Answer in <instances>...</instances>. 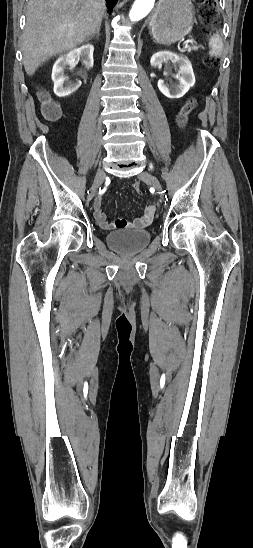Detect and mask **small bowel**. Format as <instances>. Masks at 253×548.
<instances>
[{
    "instance_id": "c3829d8e",
    "label": "small bowel",
    "mask_w": 253,
    "mask_h": 548,
    "mask_svg": "<svg viewBox=\"0 0 253 548\" xmlns=\"http://www.w3.org/2000/svg\"><path fill=\"white\" fill-rule=\"evenodd\" d=\"M94 209V216L99 223V225L105 229H114V228H144L153 220L155 211H156V205L155 203L148 204L145 209L144 213L141 217H138L134 219L132 222H129L125 219H117L114 222L108 221L106 214L102 210V199L98 198L95 200L93 204Z\"/></svg>"
}]
</instances>
